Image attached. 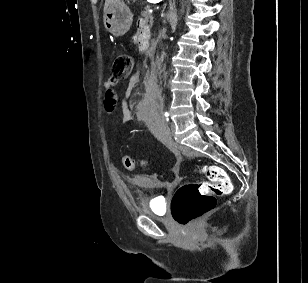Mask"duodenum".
Wrapping results in <instances>:
<instances>
[{"label":"duodenum","instance_id":"duodenum-1","mask_svg":"<svg viewBox=\"0 0 308 283\" xmlns=\"http://www.w3.org/2000/svg\"><path fill=\"white\" fill-rule=\"evenodd\" d=\"M141 44L143 46H146V45H149L150 44V39H149V31L148 30H145L143 35H142V38H141Z\"/></svg>","mask_w":308,"mask_h":283}]
</instances>
